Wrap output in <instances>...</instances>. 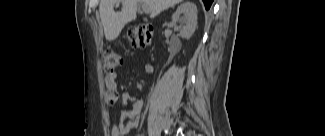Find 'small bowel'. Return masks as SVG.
I'll use <instances>...</instances> for the list:
<instances>
[{"mask_svg":"<svg viewBox=\"0 0 325 136\" xmlns=\"http://www.w3.org/2000/svg\"><path fill=\"white\" fill-rule=\"evenodd\" d=\"M145 71L152 74L154 72V67L151 64H146ZM105 86L107 89V104L113 105L120 97L121 104L124 107L120 113L119 122L111 128V136H125L138 127L143 101L141 98L128 92H124L121 95L119 94L116 73H110L105 76Z\"/></svg>","mask_w":325,"mask_h":136,"instance_id":"small-bowel-1","label":"small bowel"}]
</instances>
